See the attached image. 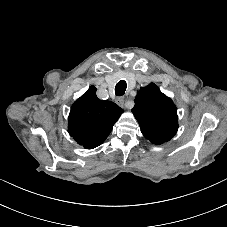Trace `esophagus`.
<instances>
[{"label":"esophagus","mask_w":227,"mask_h":227,"mask_svg":"<svg viewBox=\"0 0 227 227\" xmlns=\"http://www.w3.org/2000/svg\"><path fill=\"white\" fill-rule=\"evenodd\" d=\"M116 103H117L120 107L124 108V99H123V98H117V99H116Z\"/></svg>","instance_id":"esophagus-1"}]
</instances>
